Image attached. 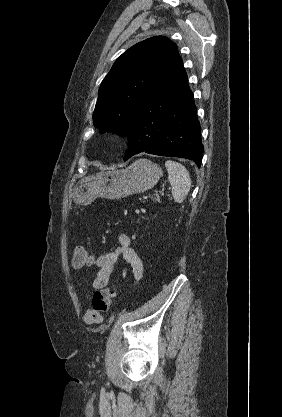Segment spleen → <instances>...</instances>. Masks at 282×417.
Masks as SVG:
<instances>
[{
    "label": "spleen",
    "instance_id": "1",
    "mask_svg": "<svg viewBox=\"0 0 282 417\" xmlns=\"http://www.w3.org/2000/svg\"><path fill=\"white\" fill-rule=\"evenodd\" d=\"M168 180L172 186L171 192L175 202H183L192 184L189 172L181 162L166 160Z\"/></svg>",
    "mask_w": 282,
    "mask_h": 417
}]
</instances>
